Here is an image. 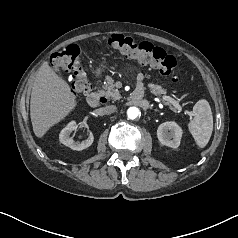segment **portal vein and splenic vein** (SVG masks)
Returning <instances> with one entry per match:
<instances>
[{"label":"portal vein and splenic vein","instance_id":"portal-vein-and-splenic-vein-1","mask_svg":"<svg viewBox=\"0 0 238 238\" xmlns=\"http://www.w3.org/2000/svg\"><path fill=\"white\" fill-rule=\"evenodd\" d=\"M162 99L167 101L168 104H172L175 107V109H177L178 113L182 111V108L179 106V104L170 96H162ZM187 113L190 116L193 115L191 112H187Z\"/></svg>","mask_w":238,"mask_h":238}]
</instances>
